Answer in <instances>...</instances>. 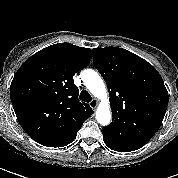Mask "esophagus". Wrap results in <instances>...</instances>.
<instances>
[{"label":"esophagus","mask_w":178,"mask_h":178,"mask_svg":"<svg viewBox=\"0 0 178 178\" xmlns=\"http://www.w3.org/2000/svg\"><path fill=\"white\" fill-rule=\"evenodd\" d=\"M90 107L95 110L99 104L98 100L97 99H93L90 103Z\"/></svg>","instance_id":"obj_1"}]
</instances>
